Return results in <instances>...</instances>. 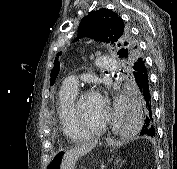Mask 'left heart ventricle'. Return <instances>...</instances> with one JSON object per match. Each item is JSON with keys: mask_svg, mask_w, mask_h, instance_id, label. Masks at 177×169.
<instances>
[{"mask_svg": "<svg viewBox=\"0 0 177 169\" xmlns=\"http://www.w3.org/2000/svg\"><path fill=\"white\" fill-rule=\"evenodd\" d=\"M79 115L85 127H97L104 121L105 106L100 104L92 94L85 96L79 105Z\"/></svg>", "mask_w": 177, "mask_h": 169, "instance_id": "left-heart-ventricle-1", "label": "left heart ventricle"}]
</instances>
